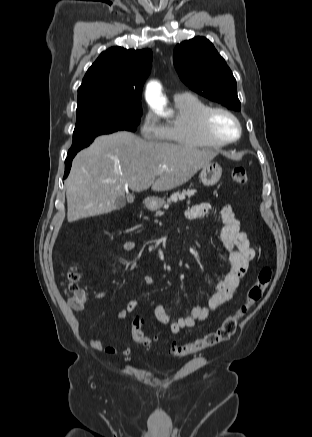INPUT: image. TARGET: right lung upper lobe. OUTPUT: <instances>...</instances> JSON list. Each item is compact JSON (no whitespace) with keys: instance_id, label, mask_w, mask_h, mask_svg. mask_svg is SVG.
<instances>
[{"instance_id":"1","label":"right lung upper lobe","mask_w":312,"mask_h":437,"mask_svg":"<svg viewBox=\"0 0 312 437\" xmlns=\"http://www.w3.org/2000/svg\"><path fill=\"white\" fill-rule=\"evenodd\" d=\"M152 59L150 49L112 47L101 53L78 89V107L141 104L142 87L150 73Z\"/></svg>"}]
</instances>
